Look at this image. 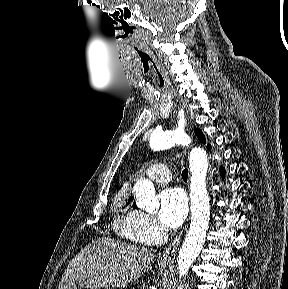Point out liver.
I'll list each match as a JSON object with an SVG mask.
<instances>
[{
    "label": "liver",
    "instance_id": "6515ba94",
    "mask_svg": "<svg viewBox=\"0 0 288 289\" xmlns=\"http://www.w3.org/2000/svg\"><path fill=\"white\" fill-rule=\"evenodd\" d=\"M153 260V250L102 237L71 260L58 289L125 288L137 283Z\"/></svg>",
    "mask_w": 288,
    "mask_h": 289
}]
</instances>
